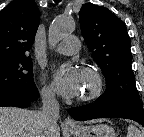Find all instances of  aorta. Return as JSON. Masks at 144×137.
<instances>
[{"label": "aorta", "instance_id": "1", "mask_svg": "<svg viewBox=\"0 0 144 137\" xmlns=\"http://www.w3.org/2000/svg\"><path fill=\"white\" fill-rule=\"evenodd\" d=\"M74 23L70 18L57 17L49 27L48 40L51 46H55L60 40L71 33Z\"/></svg>", "mask_w": 144, "mask_h": 137}]
</instances>
